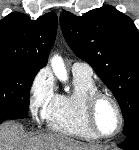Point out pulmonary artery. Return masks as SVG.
<instances>
[{"mask_svg": "<svg viewBox=\"0 0 139 150\" xmlns=\"http://www.w3.org/2000/svg\"><path fill=\"white\" fill-rule=\"evenodd\" d=\"M72 73L74 76H82L86 78H92L93 70L87 63L75 62L72 65Z\"/></svg>", "mask_w": 139, "mask_h": 150, "instance_id": "obj_1", "label": "pulmonary artery"}]
</instances>
